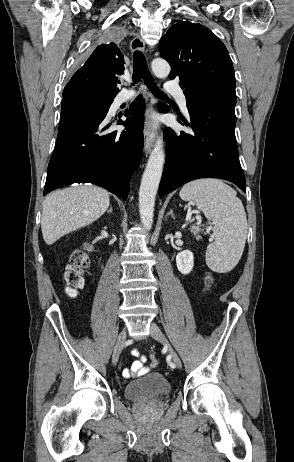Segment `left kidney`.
Here are the masks:
<instances>
[{"label": "left kidney", "mask_w": 294, "mask_h": 462, "mask_svg": "<svg viewBox=\"0 0 294 462\" xmlns=\"http://www.w3.org/2000/svg\"><path fill=\"white\" fill-rule=\"evenodd\" d=\"M176 265L180 273L189 274L194 266V256L190 250H184L177 254Z\"/></svg>", "instance_id": "obj_1"}]
</instances>
